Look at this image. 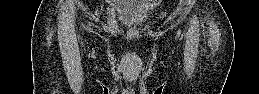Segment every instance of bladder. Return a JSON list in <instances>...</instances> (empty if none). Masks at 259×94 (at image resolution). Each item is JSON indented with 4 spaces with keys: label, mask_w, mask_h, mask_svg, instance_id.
<instances>
[{
    "label": "bladder",
    "mask_w": 259,
    "mask_h": 94,
    "mask_svg": "<svg viewBox=\"0 0 259 94\" xmlns=\"http://www.w3.org/2000/svg\"><path fill=\"white\" fill-rule=\"evenodd\" d=\"M155 11L147 1H116L113 18L122 28L136 29L148 25Z\"/></svg>",
    "instance_id": "31cf9c89"
}]
</instances>
